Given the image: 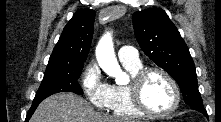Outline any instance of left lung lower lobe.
<instances>
[{"instance_id": "1", "label": "left lung lower lobe", "mask_w": 221, "mask_h": 122, "mask_svg": "<svg viewBox=\"0 0 221 122\" xmlns=\"http://www.w3.org/2000/svg\"><path fill=\"white\" fill-rule=\"evenodd\" d=\"M198 111L201 112L205 117L208 118L207 112H206V110L204 108L203 109H199Z\"/></svg>"}]
</instances>
